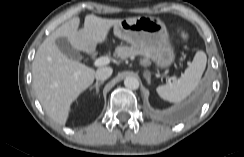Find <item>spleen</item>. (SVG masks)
I'll use <instances>...</instances> for the list:
<instances>
[{
  "label": "spleen",
  "instance_id": "3e777b00",
  "mask_svg": "<svg viewBox=\"0 0 244 157\" xmlns=\"http://www.w3.org/2000/svg\"><path fill=\"white\" fill-rule=\"evenodd\" d=\"M207 56L204 51H197L193 61L180 78L170 84L158 86V95L169 102L179 103L197 87L205 70Z\"/></svg>",
  "mask_w": 244,
  "mask_h": 157
}]
</instances>
